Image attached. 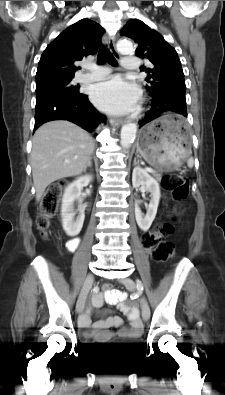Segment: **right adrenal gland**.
Here are the masks:
<instances>
[{"label":"right adrenal gland","instance_id":"obj_1","mask_svg":"<svg viewBox=\"0 0 225 395\" xmlns=\"http://www.w3.org/2000/svg\"><path fill=\"white\" fill-rule=\"evenodd\" d=\"M91 160H92V157H90V158H89V161H88V163H87V166H86V168H87V167H91V166H92V162H91Z\"/></svg>","mask_w":225,"mask_h":395}]
</instances>
